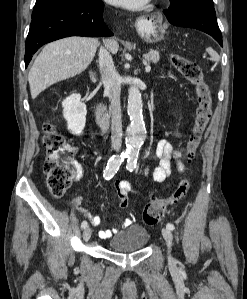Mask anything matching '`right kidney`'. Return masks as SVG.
<instances>
[{
    "label": "right kidney",
    "mask_w": 247,
    "mask_h": 299,
    "mask_svg": "<svg viewBox=\"0 0 247 299\" xmlns=\"http://www.w3.org/2000/svg\"><path fill=\"white\" fill-rule=\"evenodd\" d=\"M63 116L67 128L73 135H80L86 123V105L81 102L80 94H72L62 102Z\"/></svg>",
    "instance_id": "1"
}]
</instances>
